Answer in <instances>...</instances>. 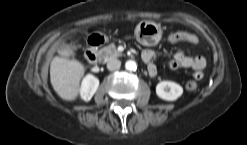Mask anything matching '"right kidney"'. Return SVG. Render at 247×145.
Returning <instances> with one entry per match:
<instances>
[{
	"label": "right kidney",
	"mask_w": 247,
	"mask_h": 145,
	"mask_svg": "<svg viewBox=\"0 0 247 145\" xmlns=\"http://www.w3.org/2000/svg\"><path fill=\"white\" fill-rule=\"evenodd\" d=\"M99 86V80L93 75H87L81 85L80 94L84 101H90Z\"/></svg>",
	"instance_id": "right-kidney-1"
}]
</instances>
